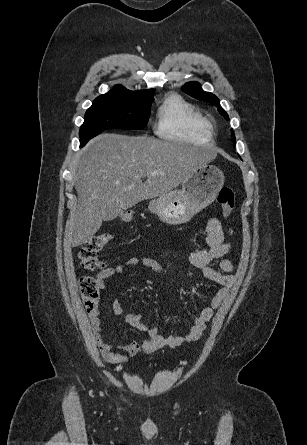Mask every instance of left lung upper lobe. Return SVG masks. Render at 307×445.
<instances>
[{
    "label": "left lung upper lobe",
    "instance_id": "left-lung-upper-lobe-1",
    "mask_svg": "<svg viewBox=\"0 0 307 445\" xmlns=\"http://www.w3.org/2000/svg\"><path fill=\"white\" fill-rule=\"evenodd\" d=\"M182 90L185 93L189 94L190 96H192V97H194V98H196L198 100H202V101H205V102H208V103H212L215 106H220L219 99L215 95H213L212 93L203 91L202 88L200 87V84L197 83V82H188V83H186L182 87ZM218 111L227 120L229 119L227 113L223 110L222 107H218ZM232 136H233V140L235 141L234 134H232Z\"/></svg>",
    "mask_w": 307,
    "mask_h": 445
}]
</instances>
